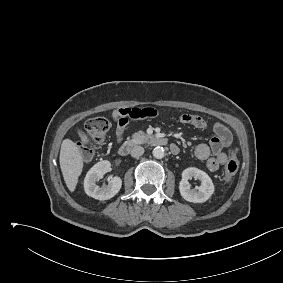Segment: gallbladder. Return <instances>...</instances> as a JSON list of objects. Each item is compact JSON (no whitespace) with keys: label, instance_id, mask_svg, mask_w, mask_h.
Wrapping results in <instances>:
<instances>
[{"label":"gallbladder","instance_id":"bac80fb5","mask_svg":"<svg viewBox=\"0 0 283 283\" xmlns=\"http://www.w3.org/2000/svg\"><path fill=\"white\" fill-rule=\"evenodd\" d=\"M78 135L80 136V138L84 141V142H88V138L87 136L84 134L83 131H81L80 129L77 130Z\"/></svg>","mask_w":283,"mask_h":283}]
</instances>
